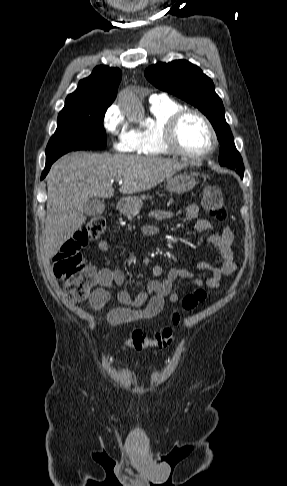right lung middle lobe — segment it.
Instances as JSON below:
<instances>
[{"mask_svg": "<svg viewBox=\"0 0 287 486\" xmlns=\"http://www.w3.org/2000/svg\"><path fill=\"white\" fill-rule=\"evenodd\" d=\"M110 105L88 104L64 107L57 129L46 148V163L69 151L106 147L103 119Z\"/></svg>", "mask_w": 287, "mask_h": 486, "instance_id": "1", "label": "right lung middle lobe"}]
</instances>
